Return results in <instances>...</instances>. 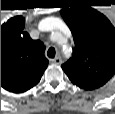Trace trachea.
<instances>
[{
    "label": "trachea",
    "mask_w": 115,
    "mask_h": 114,
    "mask_svg": "<svg viewBox=\"0 0 115 114\" xmlns=\"http://www.w3.org/2000/svg\"><path fill=\"white\" fill-rule=\"evenodd\" d=\"M55 54H56L55 49H54L53 47H50V48L48 49V52H47L48 57H49V58H54V57H55Z\"/></svg>",
    "instance_id": "3493384b"
}]
</instances>
